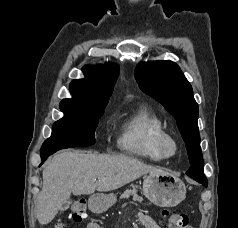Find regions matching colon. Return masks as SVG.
<instances>
[{"label":"colon","mask_w":238,"mask_h":228,"mask_svg":"<svg viewBox=\"0 0 238 228\" xmlns=\"http://www.w3.org/2000/svg\"><path fill=\"white\" fill-rule=\"evenodd\" d=\"M162 215L167 223L168 228H191L190 219L186 214L171 212L167 209L162 211ZM86 216V202L84 199H78L71 205V212L68 219L80 223ZM64 223H59L56 228H64Z\"/></svg>","instance_id":"5ec220e1"}]
</instances>
